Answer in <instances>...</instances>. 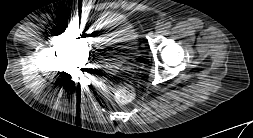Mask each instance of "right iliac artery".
<instances>
[{
    "instance_id": "right-iliac-artery-1",
    "label": "right iliac artery",
    "mask_w": 253,
    "mask_h": 138,
    "mask_svg": "<svg viewBox=\"0 0 253 138\" xmlns=\"http://www.w3.org/2000/svg\"><path fill=\"white\" fill-rule=\"evenodd\" d=\"M75 23L73 22V21H68L67 23H66V26L68 27V28H72V26L74 25Z\"/></svg>"
}]
</instances>
